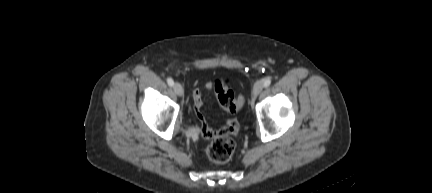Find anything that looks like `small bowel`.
I'll list each match as a JSON object with an SVG mask.
<instances>
[{
	"instance_id": "small-bowel-1",
	"label": "small bowel",
	"mask_w": 432,
	"mask_h": 193,
	"mask_svg": "<svg viewBox=\"0 0 432 193\" xmlns=\"http://www.w3.org/2000/svg\"><path fill=\"white\" fill-rule=\"evenodd\" d=\"M205 87L207 90H211L213 86L211 83H208ZM192 99L193 108L201 122V131L205 138L211 139L218 136H231L237 134L239 131V122L234 117L228 118L225 124L217 129L212 128L205 122L204 117L201 114V108L203 106L202 92L198 88H192Z\"/></svg>"
}]
</instances>
